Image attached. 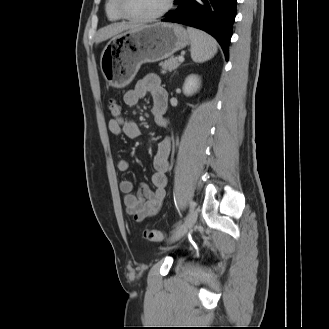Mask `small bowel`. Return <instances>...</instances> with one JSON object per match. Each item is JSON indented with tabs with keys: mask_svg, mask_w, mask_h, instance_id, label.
I'll return each instance as SVG.
<instances>
[{
	"mask_svg": "<svg viewBox=\"0 0 329 329\" xmlns=\"http://www.w3.org/2000/svg\"><path fill=\"white\" fill-rule=\"evenodd\" d=\"M148 95H150L152 100L151 111L155 123L159 126H165L167 124L168 94L161 86L160 79L156 74H149L139 81L133 89L124 94L123 100L127 106L134 107ZM108 129L113 135H125L130 139H138L141 136L139 125L134 120L121 116L111 118L108 122ZM170 151L171 140L165 138L158 144L153 160L155 172L151 177V182L154 190L141 185L137 193H134V186L131 180L123 179L120 183V189L124 194L123 200L126 211L138 222L153 216L161 207L166 193V172L169 168ZM129 167L130 164L126 158H120L117 161L116 168L119 172H127Z\"/></svg>",
	"mask_w": 329,
	"mask_h": 329,
	"instance_id": "small-bowel-1",
	"label": "small bowel"
}]
</instances>
